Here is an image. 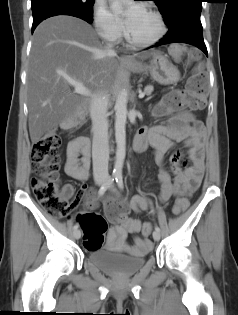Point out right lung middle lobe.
Segmentation results:
<instances>
[{"mask_svg":"<svg viewBox=\"0 0 238 315\" xmlns=\"http://www.w3.org/2000/svg\"><path fill=\"white\" fill-rule=\"evenodd\" d=\"M95 0H32L31 7L46 3H59L79 8L85 12L93 13Z\"/></svg>","mask_w":238,"mask_h":315,"instance_id":"obj_1","label":"right lung middle lobe"}]
</instances>
